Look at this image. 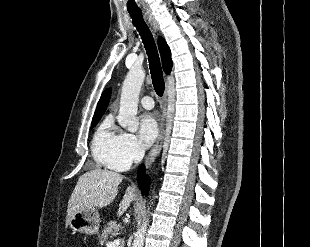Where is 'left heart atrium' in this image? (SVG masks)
Here are the masks:
<instances>
[{
	"instance_id": "1",
	"label": "left heart atrium",
	"mask_w": 310,
	"mask_h": 247,
	"mask_svg": "<svg viewBox=\"0 0 310 247\" xmlns=\"http://www.w3.org/2000/svg\"><path fill=\"white\" fill-rule=\"evenodd\" d=\"M159 128L151 114L143 115L139 123V137L143 147H149L157 138Z\"/></svg>"
}]
</instances>
